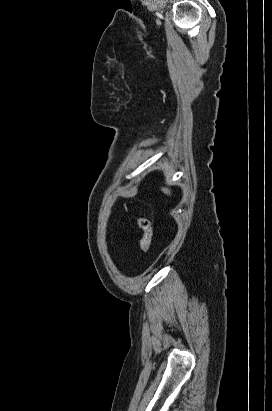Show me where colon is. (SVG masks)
<instances>
[{"mask_svg": "<svg viewBox=\"0 0 272 411\" xmlns=\"http://www.w3.org/2000/svg\"><path fill=\"white\" fill-rule=\"evenodd\" d=\"M138 226L141 231L140 248L144 252H148L151 247L153 236L151 222L145 217H140L138 219Z\"/></svg>", "mask_w": 272, "mask_h": 411, "instance_id": "obj_1", "label": "colon"}]
</instances>
